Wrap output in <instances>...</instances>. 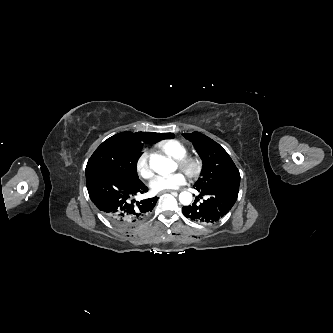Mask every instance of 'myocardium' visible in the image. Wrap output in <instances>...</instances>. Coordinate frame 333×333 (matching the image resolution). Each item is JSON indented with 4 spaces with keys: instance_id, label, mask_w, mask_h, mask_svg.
Here are the masks:
<instances>
[{
    "instance_id": "obj_1",
    "label": "myocardium",
    "mask_w": 333,
    "mask_h": 333,
    "mask_svg": "<svg viewBox=\"0 0 333 333\" xmlns=\"http://www.w3.org/2000/svg\"><path fill=\"white\" fill-rule=\"evenodd\" d=\"M179 166L191 178H196L200 175L203 169L202 160L195 156H185L178 161Z\"/></svg>"
}]
</instances>
